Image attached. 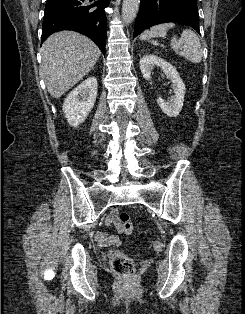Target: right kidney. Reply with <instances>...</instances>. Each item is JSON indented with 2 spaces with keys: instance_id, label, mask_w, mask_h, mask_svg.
I'll return each mask as SVG.
<instances>
[{
  "instance_id": "right-kidney-1",
  "label": "right kidney",
  "mask_w": 245,
  "mask_h": 314,
  "mask_svg": "<svg viewBox=\"0 0 245 314\" xmlns=\"http://www.w3.org/2000/svg\"><path fill=\"white\" fill-rule=\"evenodd\" d=\"M97 87V79L89 77L69 93L62 107L69 125L77 127L88 117L96 101Z\"/></svg>"
}]
</instances>
